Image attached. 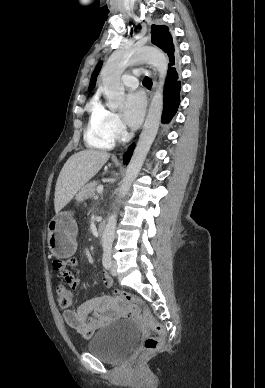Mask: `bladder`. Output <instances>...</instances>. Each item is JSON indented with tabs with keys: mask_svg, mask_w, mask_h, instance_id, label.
Listing matches in <instances>:
<instances>
[{
	"mask_svg": "<svg viewBox=\"0 0 265 388\" xmlns=\"http://www.w3.org/2000/svg\"><path fill=\"white\" fill-rule=\"evenodd\" d=\"M138 329L131 321L112 322L98 331L88 344V352L107 361H117L135 344Z\"/></svg>",
	"mask_w": 265,
	"mask_h": 388,
	"instance_id": "obj_1",
	"label": "bladder"
}]
</instances>
